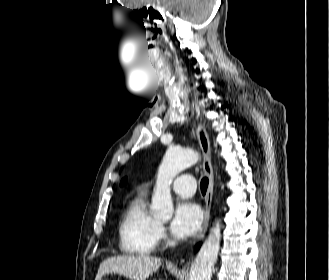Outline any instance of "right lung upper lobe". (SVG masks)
<instances>
[{"instance_id": "right-lung-upper-lobe-1", "label": "right lung upper lobe", "mask_w": 329, "mask_h": 280, "mask_svg": "<svg viewBox=\"0 0 329 280\" xmlns=\"http://www.w3.org/2000/svg\"><path fill=\"white\" fill-rule=\"evenodd\" d=\"M125 183V179L122 180L121 184L123 185Z\"/></svg>"}]
</instances>
